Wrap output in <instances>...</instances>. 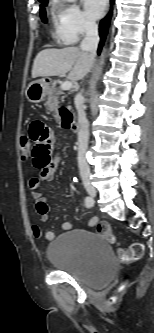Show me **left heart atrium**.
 Returning a JSON list of instances; mask_svg holds the SVG:
<instances>
[{
    "mask_svg": "<svg viewBox=\"0 0 154 333\" xmlns=\"http://www.w3.org/2000/svg\"><path fill=\"white\" fill-rule=\"evenodd\" d=\"M107 0H83L86 14L91 19H97L102 14Z\"/></svg>",
    "mask_w": 154,
    "mask_h": 333,
    "instance_id": "obj_1",
    "label": "left heart atrium"
}]
</instances>
